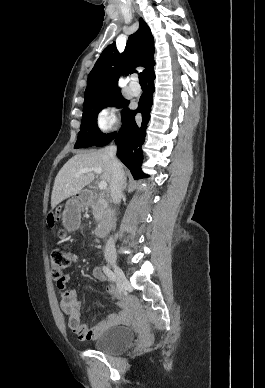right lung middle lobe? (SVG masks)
<instances>
[{
    "label": "right lung middle lobe",
    "instance_id": "1",
    "mask_svg": "<svg viewBox=\"0 0 265 388\" xmlns=\"http://www.w3.org/2000/svg\"><path fill=\"white\" fill-rule=\"evenodd\" d=\"M129 101L125 100L119 89L108 90L94 94L84 100L82 122L80 132L74 148L105 146L115 137L116 132L103 134L97 125V116L99 111L107 106L125 107ZM128 108H124L121 117L124 121L129 113Z\"/></svg>",
    "mask_w": 265,
    "mask_h": 388
}]
</instances>
